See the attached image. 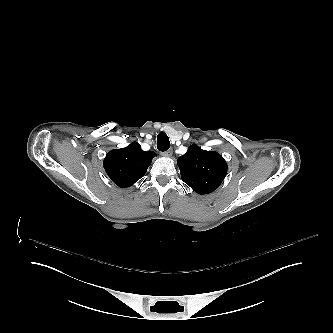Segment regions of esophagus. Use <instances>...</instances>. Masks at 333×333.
Instances as JSON below:
<instances>
[{
	"label": "esophagus",
	"mask_w": 333,
	"mask_h": 333,
	"mask_svg": "<svg viewBox=\"0 0 333 333\" xmlns=\"http://www.w3.org/2000/svg\"><path fill=\"white\" fill-rule=\"evenodd\" d=\"M172 154H173V151L170 149V150L163 152L162 155L165 157H170V156H172Z\"/></svg>",
	"instance_id": "1"
}]
</instances>
